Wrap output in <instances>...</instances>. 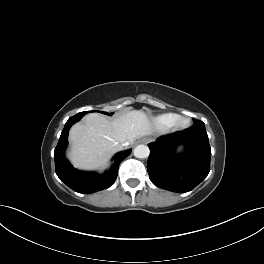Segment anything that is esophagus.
<instances>
[{"label": "esophagus", "mask_w": 264, "mask_h": 264, "mask_svg": "<svg viewBox=\"0 0 264 264\" xmlns=\"http://www.w3.org/2000/svg\"><path fill=\"white\" fill-rule=\"evenodd\" d=\"M141 142H143V143H148V142H149V139H148V138H142V139H141Z\"/></svg>", "instance_id": "1"}]
</instances>
